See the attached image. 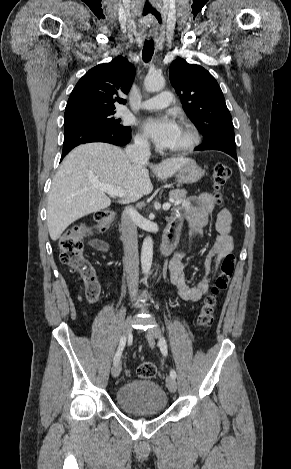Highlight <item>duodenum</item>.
<instances>
[{
  "mask_svg": "<svg viewBox=\"0 0 291 469\" xmlns=\"http://www.w3.org/2000/svg\"><path fill=\"white\" fill-rule=\"evenodd\" d=\"M121 230H124V225L121 224ZM179 237V231L171 226H168L163 236L159 251L162 256H169L176 247Z\"/></svg>",
  "mask_w": 291,
  "mask_h": 469,
  "instance_id": "duodenum-1",
  "label": "duodenum"
}]
</instances>
